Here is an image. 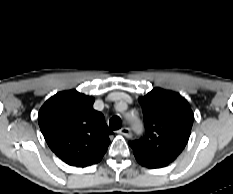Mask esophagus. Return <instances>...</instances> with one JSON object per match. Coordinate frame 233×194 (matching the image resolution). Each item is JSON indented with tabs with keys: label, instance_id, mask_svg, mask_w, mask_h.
Returning <instances> with one entry per match:
<instances>
[{
	"label": "esophagus",
	"instance_id": "1",
	"mask_svg": "<svg viewBox=\"0 0 233 194\" xmlns=\"http://www.w3.org/2000/svg\"><path fill=\"white\" fill-rule=\"evenodd\" d=\"M119 133L124 135L127 138L132 137V132L128 127H123L122 129H120Z\"/></svg>",
	"mask_w": 233,
	"mask_h": 194
}]
</instances>
